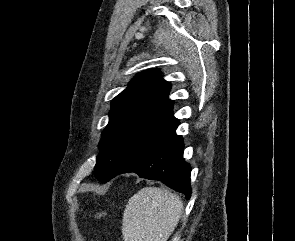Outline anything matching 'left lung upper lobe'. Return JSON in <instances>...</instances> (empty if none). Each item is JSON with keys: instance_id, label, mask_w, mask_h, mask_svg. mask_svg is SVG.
<instances>
[{"instance_id": "obj_1", "label": "left lung upper lobe", "mask_w": 295, "mask_h": 241, "mask_svg": "<svg viewBox=\"0 0 295 241\" xmlns=\"http://www.w3.org/2000/svg\"><path fill=\"white\" fill-rule=\"evenodd\" d=\"M170 88L157 70H148L137 74L113 99L94 168L100 182L110 180L151 143L179 125L167 97Z\"/></svg>"}]
</instances>
